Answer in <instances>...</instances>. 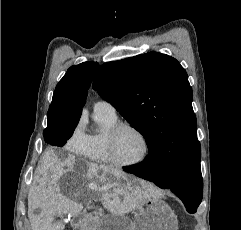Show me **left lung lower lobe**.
<instances>
[{
    "mask_svg": "<svg viewBox=\"0 0 241 230\" xmlns=\"http://www.w3.org/2000/svg\"><path fill=\"white\" fill-rule=\"evenodd\" d=\"M124 171L132 173L140 178L154 182L160 188L170 189L184 203L189 213H195L203 196V179L200 163L193 165L175 185L169 182V159L157 147L151 150L146 159L139 165L124 167Z\"/></svg>",
    "mask_w": 241,
    "mask_h": 230,
    "instance_id": "obj_1",
    "label": "left lung lower lobe"
}]
</instances>
